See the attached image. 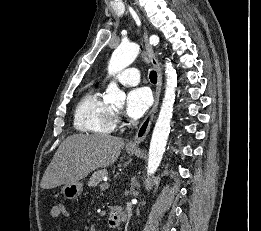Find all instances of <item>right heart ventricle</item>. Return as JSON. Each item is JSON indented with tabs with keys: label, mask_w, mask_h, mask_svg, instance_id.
I'll use <instances>...</instances> for the list:
<instances>
[{
	"label": "right heart ventricle",
	"mask_w": 261,
	"mask_h": 231,
	"mask_svg": "<svg viewBox=\"0 0 261 231\" xmlns=\"http://www.w3.org/2000/svg\"><path fill=\"white\" fill-rule=\"evenodd\" d=\"M116 125L112 108L100 97L98 90H89L77 103L74 111V127L82 133L107 135Z\"/></svg>",
	"instance_id": "obj_1"
}]
</instances>
